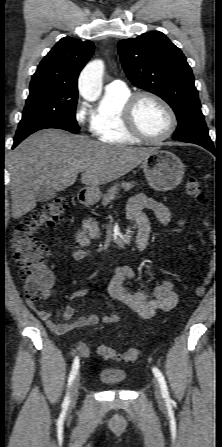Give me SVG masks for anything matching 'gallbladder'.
I'll return each mask as SVG.
<instances>
[{
	"label": "gallbladder",
	"instance_id": "obj_1",
	"mask_svg": "<svg viewBox=\"0 0 222 447\" xmlns=\"http://www.w3.org/2000/svg\"><path fill=\"white\" fill-rule=\"evenodd\" d=\"M57 194L56 190L50 189L49 187L43 185L37 192L38 202H47L53 199Z\"/></svg>",
	"mask_w": 222,
	"mask_h": 447
}]
</instances>
